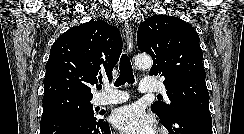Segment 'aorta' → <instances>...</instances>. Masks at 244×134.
<instances>
[{"label":"aorta","instance_id":"1","mask_svg":"<svg viewBox=\"0 0 244 134\" xmlns=\"http://www.w3.org/2000/svg\"><path fill=\"white\" fill-rule=\"evenodd\" d=\"M135 64L140 69H150L152 67V59L148 55H137Z\"/></svg>","mask_w":244,"mask_h":134}]
</instances>
